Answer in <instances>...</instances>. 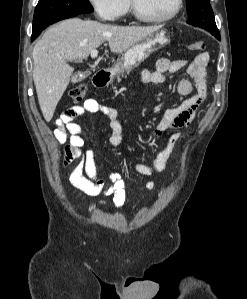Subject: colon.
I'll use <instances>...</instances> for the list:
<instances>
[{
    "label": "colon",
    "mask_w": 247,
    "mask_h": 299,
    "mask_svg": "<svg viewBox=\"0 0 247 299\" xmlns=\"http://www.w3.org/2000/svg\"><path fill=\"white\" fill-rule=\"evenodd\" d=\"M187 48L190 51H201V50H203V43L201 41H196V42L190 43L187 46ZM86 91H87V89L84 84H78L69 90V96L74 101H81L84 98Z\"/></svg>",
    "instance_id": "5ec220e1"
}]
</instances>
